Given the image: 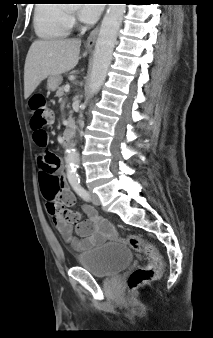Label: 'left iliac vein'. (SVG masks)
I'll return each mask as SVG.
<instances>
[{
	"mask_svg": "<svg viewBox=\"0 0 213 338\" xmlns=\"http://www.w3.org/2000/svg\"><path fill=\"white\" fill-rule=\"evenodd\" d=\"M89 193H90L91 202L94 205H100V199H99L98 195L93 193V192H89Z\"/></svg>",
	"mask_w": 213,
	"mask_h": 338,
	"instance_id": "obj_1",
	"label": "left iliac vein"
}]
</instances>
